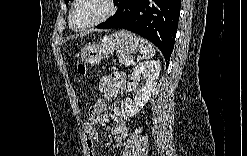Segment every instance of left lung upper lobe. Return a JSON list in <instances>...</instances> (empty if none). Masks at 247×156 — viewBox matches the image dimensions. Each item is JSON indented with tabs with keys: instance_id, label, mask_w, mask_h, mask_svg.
Masks as SVG:
<instances>
[{
	"instance_id": "obj_1",
	"label": "left lung upper lobe",
	"mask_w": 247,
	"mask_h": 156,
	"mask_svg": "<svg viewBox=\"0 0 247 156\" xmlns=\"http://www.w3.org/2000/svg\"><path fill=\"white\" fill-rule=\"evenodd\" d=\"M69 2V0H65V3L67 4Z\"/></svg>"
}]
</instances>
